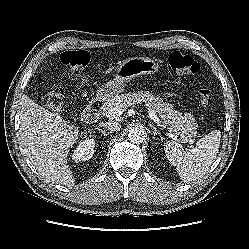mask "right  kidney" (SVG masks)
I'll use <instances>...</instances> for the list:
<instances>
[{
    "instance_id": "ca27d5eb",
    "label": "right kidney",
    "mask_w": 249,
    "mask_h": 249,
    "mask_svg": "<svg viewBox=\"0 0 249 249\" xmlns=\"http://www.w3.org/2000/svg\"><path fill=\"white\" fill-rule=\"evenodd\" d=\"M95 148V140L93 138H86L79 143L77 148L73 151L71 158L75 162L86 161L92 158Z\"/></svg>"
}]
</instances>
